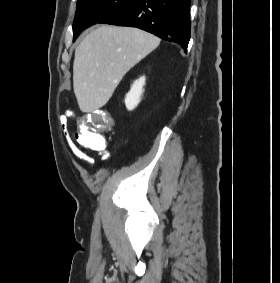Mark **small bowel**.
<instances>
[{
  "label": "small bowel",
  "instance_id": "c3829d8e",
  "mask_svg": "<svg viewBox=\"0 0 280 283\" xmlns=\"http://www.w3.org/2000/svg\"><path fill=\"white\" fill-rule=\"evenodd\" d=\"M73 117H74V114L65 113L60 119V124H61L64 138L66 140V143L69 149L73 153V155L76 158L82 160L86 165H91L93 163V159L89 155L84 153L72 140V137L69 131V123L73 119ZM109 157L110 155L107 151H103L102 153H100V158L102 161H107Z\"/></svg>",
  "mask_w": 280,
  "mask_h": 283
}]
</instances>
